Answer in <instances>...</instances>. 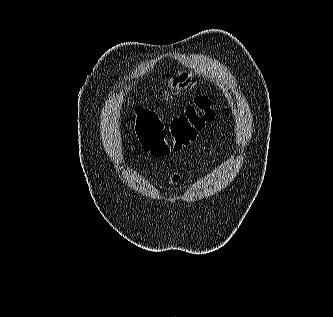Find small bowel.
<instances>
[{
    "label": "small bowel",
    "instance_id": "obj_1",
    "mask_svg": "<svg viewBox=\"0 0 333 317\" xmlns=\"http://www.w3.org/2000/svg\"><path fill=\"white\" fill-rule=\"evenodd\" d=\"M215 138H216V134L214 132H212L208 135L209 140H214ZM180 180H181L180 172L179 171H174L170 176L169 183L172 187H175L179 184Z\"/></svg>",
    "mask_w": 333,
    "mask_h": 317
}]
</instances>
